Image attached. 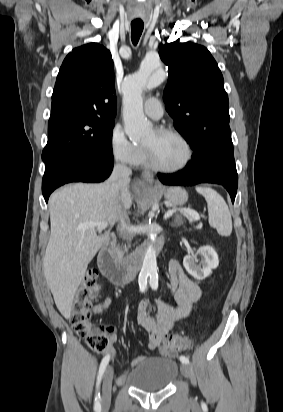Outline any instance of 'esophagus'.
I'll return each instance as SVG.
<instances>
[{
    "label": "esophagus",
    "instance_id": "1",
    "mask_svg": "<svg viewBox=\"0 0 283 412\" xmlns=\"http://www.w3.org/2000/svg\"><path fill=\"white\" fill-rule=\"evenodd\" d=\"M143 177L148 183L153 184L154 179L150 173H144Z\"/></svg>",
    "mask_w": 283,
    "mask_h": 412
}]
</instances>
